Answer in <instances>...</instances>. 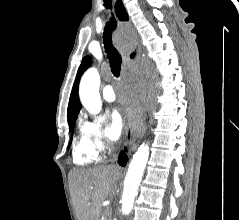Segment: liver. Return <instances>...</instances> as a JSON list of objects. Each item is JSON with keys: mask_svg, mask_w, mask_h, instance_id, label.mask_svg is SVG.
Masks as SVG:
<instances>
[{"mask_svg": "<svg viewBox=\"0 0 239 220\" xmlns=\"http://www.w3.org/2000/svg\"><path fill=\"white\" fill-rule=\"evenodd\" d=\"M120 176V169L111 165L70 171L69 184L78 220H100L102 204L114 192Z\"/></svg>", "mask_w": 239, "mask_h": 220, "instance_id": "6515ba94", "label": "liver"}]
</instances>
